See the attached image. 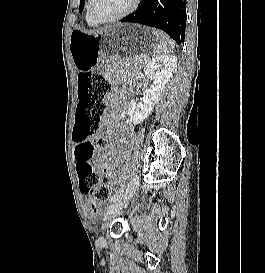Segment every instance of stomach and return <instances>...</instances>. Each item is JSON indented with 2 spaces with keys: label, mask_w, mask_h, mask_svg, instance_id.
<instances>
[{
  "label": "stomach",
  "mask_w": 265,
  "mask_h": 273,
  "mask_svg": "<svg viewBox=\"0 0 265 273\" xmlns=\"http://www.w3.org/2000/svg\"><path fill=\"white\" fill-rule=\"evenodd\" d=\"M158 45H162L160 35L157 30H149V25H107V30H74L70 36V53L79 71L94 65L95 69H108V64H134L140 56H154L149 50L158 49Z\"/></svg>",
  "instance_id": "stomach-1"
}]
</instances>
